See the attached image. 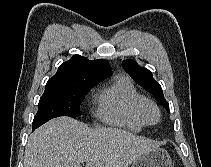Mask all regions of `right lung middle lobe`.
Listing matches in <instances>:
<instances>
[{
	"label": "right lung middle lobe",
	"instance_id": "1",
	"mask_svg": "<svg viewBox=\"0 0 211 167\" xmlns=\"http://www.w3.org/2000/svg\"><path fill=\"white\" fill-rule=\"evenodd\" d=\"M99 82L89 80L64 87H45L33 120V130L55 117H79V106L85 94Z\"/></svg>",
	"mask_w": 211,
	"mask_h": 167
}]
</instances>
